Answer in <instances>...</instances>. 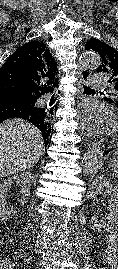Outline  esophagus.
I'll use <instances>...</instances> for the list:
<instances>
[{"mask_svg":"<svg viewBox=\"0 0 118 269\" xmlns=\"http://www.w3.org/2000/svg\"><path fill=\"white\" fill-rule=\"evenodd\" d=\"M90 76H91V71L90 70L80 68V71H79V77H80L79 93H80V98L81 99L83 97V95H82V86L88 81V79L90 78ZM81 134H82V139H83V145H84V147L86 149H91L92 146H93V144H94L93 140L89 139L86 136L83 128H82Z\"/></svg>","mask_w":118,"mask_h":269,"instance_id":"esophagus-1","label":"esophagus"}]
</instances>
